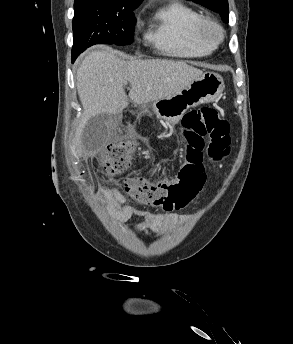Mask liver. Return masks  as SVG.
Wrapping results in <instances>:
<instances>
[{
	"label": "liver",
	"instance_id": "obj_1",
	"mask_svg": "<svg viewBox=\"0 0 293 344\" xmlns=\"http://www.w3.org/2000/svg\"><path fill=\"white\" fill-rule=\"evenodd\" d=\"M202 74L183 61H125L109 51L89 53L77 70V90L84 111L73 150L79 155L83 152L81 135L90 118L101 113L118 114L128 106L124 91L128 82L129 98L135 104H145L180 93Z\"/></svg>",
	"mask_w": 293,
	"mask_h": 344
}]
</instances>
